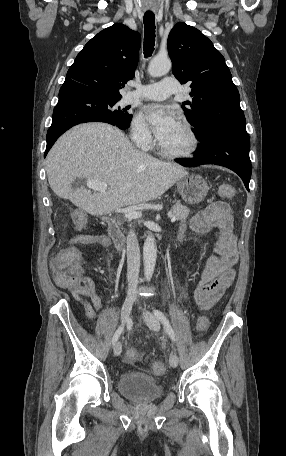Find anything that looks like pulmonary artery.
<instances>
[{
  "label": "pulmonary artery",
  "mask_w": 286,
  "mask_h": 456,
  "mask_svg": "<svg viewBox=\"0 0 286 456\" xmlns=\"http://www.w3.org/2000/svg\"><path fill=\"white\" fill-rule=\"evenodd\" d=\"M178 92L177 80L165 77L159 83L141 85L128 96V101L165 100Z\"/></svg>",
  "instance_id": "1"
}]
</instances>
